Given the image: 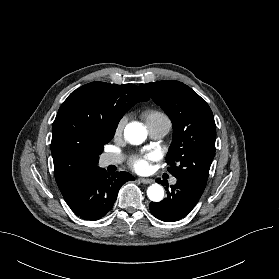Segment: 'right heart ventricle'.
<instances>
[{"label":"right heart ventricle","mask_w":279,"mask_h":279,"mask_svg":"<svg viewBox=\"0 0 279 279\" xmlns=\"http://www.w3.org/2000/svg\"><path fill=\"white\" fill-rule=\"evenodd\" d=\"M141 116L145 120L147 127L169 120L163 112L156 109H147L142 112Z\"/></svg>","instance_id":"1"}]
</instances>
